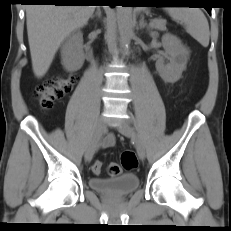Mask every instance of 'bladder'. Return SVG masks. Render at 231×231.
Segmentation results:
<instances>
[{
	"label": "bladder",
	"mask_w": 231,
	"mask_h": 231,
	"mask_svg": "<svg viewBox=\"0 0 231 231\" xmlns=\"http://www.w3.org/2000/svg\"><path fill=\"white\" fill-rule=\"evenodd\" d=\"M88 185L95 192L105 196L125 197L137 189L139 178L133 173H126L108 179L92 177L88 180Z\"/></svg>",
	"instance_id": "obj_1"
}]
</instances>
